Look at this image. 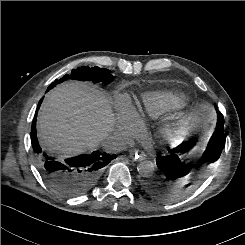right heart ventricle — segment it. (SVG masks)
Returning <instances> with one entry per match:
<instances>
[{"mask_svg":"<svg viewBox=\"0 0 245 245\" xmlns=\"http://www.w3.org/2000/svg\"><path fill=\"white\" fill-rule=\"evenodd\" d=\"M183 97L170 91L147 92L142 96V104L137 111L140 119L156 118L183 104Z\"/></svg>","mask_w":245,"mask_h":245,"instance_id":"1","label":"right heart ventricle"}]
</instances>
